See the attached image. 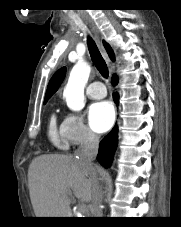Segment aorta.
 I'll return each mask as SVG.
<instances>
[{"label":"aorta","mask_w":181,"mask_h":227,"mask_svg":"<svg viewBox=\"0 0 181 227\" xmlns=\"http://www.w3.org/2000/svg\"><path fill=\"white\" fill-rule=\"evenodd\" d=\"M91 67L84 61L77 62L70 72L63 97L73 111H81L85 106L84 88L88 82Z\"/></svg>","instance_id":"aorta-1"}]
</instances>
